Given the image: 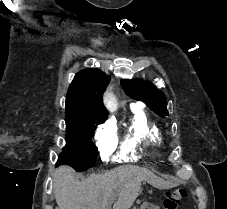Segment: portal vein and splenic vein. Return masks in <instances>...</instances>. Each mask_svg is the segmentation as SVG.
I'll return each instance as SVG.
<instances>
[{
	"instance_id": "portal-vein-and-splenic-vein-1",
	"label": "portal vein and splenic vein",
	"mask_w": 227,
	"mask_h": 209,
	"mask_svg": "<svg viewBox=\"0 0 227 209\" xmlns=\"http://www.w3.org/2000/svg\"><path fill=\"white\" fill-rule=\"evenodd\" d=\"M114 201V199H113ZM146 202L144 201L143 203L140 204V209H145L146 208Z\"/></svg>"
}]
</instances>
